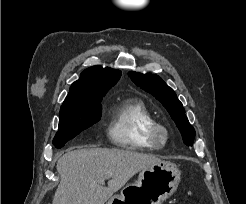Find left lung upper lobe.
<instances>
[{
	"label": "left lung upper lobe",
	"instance_id": "5c2ea615",
	"mask_svg": "<svg viewBox=\"0 0 246 204\" xmlns=\"http://www.w3.org/2000/svg\"><path fill=\"white\" fill-rule=\"evenodd\" d=\"M131 80L140 88L153 95L167 109L172 119L180 130L183 142L192 146L195 130L189 123L182 103L178 100L175 92L160 77L152 74L129 72Z\"/></svg>",
	"mask_w": 246,
	"mask_h": 204
}]
</instances>
